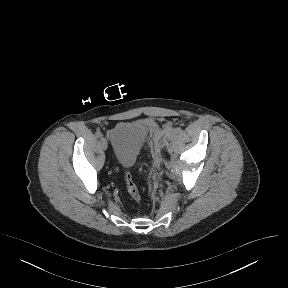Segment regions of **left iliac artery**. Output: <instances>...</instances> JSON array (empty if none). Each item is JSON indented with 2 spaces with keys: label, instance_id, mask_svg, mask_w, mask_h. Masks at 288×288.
<instances>
[{
  "label": "left iliac artery",
  "instance_id": "44dca946",
  "mask_svg": "<svg viewBox=\"0 0 288 288\" xmlns=\"http://www.w3.org/2000/svg\"><path fill=\"white\" fill-rule=\"evenodd\" d=\"M181 132V128H175L173 134H178Z\"/></svg>",
  "mask_w": 288,
  "mask_h": 288
}]
</instances>
